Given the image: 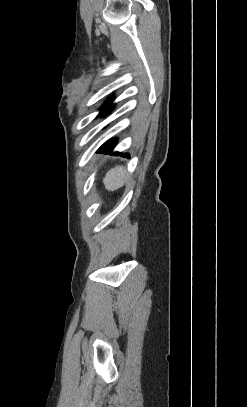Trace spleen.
Returning a JSON list of instances; mask_svg holds the SVG:
<instances>
[{
    "label": "spleen",
    "mask_w": 247,
    "mask_h": 407,
    "mask_svg": "<svg viewBox=\"0 0 247 407\" xmlns=\"http://www.w3.org/2000/svg\"><path fill=\"white\" fill-rule=\"evenodd\" d=\"M127 179L128 176L125 168L118 165L107 173L104 179V184L106 189L113 191L122 187L126 183Z\"/></svg>",
    "instance_id": "obj_1"
}]
</instances>
